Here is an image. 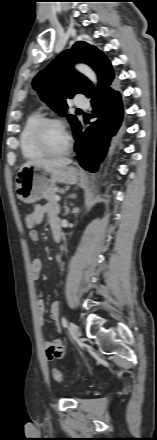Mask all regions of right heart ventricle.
Returning a JSON list of instances; mask_svg holds the SVG:
<instances>
[{"instance_id":"right-heart-ventricle-1","label":"right heart ventricle","mask_w":157,"mask_h":440,"mask_svg":"<svg viewBox=\"0 0 157 440\" xmlns=\"http://www.w3.org/2000/svg\"><path fill=\"white\" fill-rule=\"evenodd\" d=\"M41 119H43V115L40 112H33L26 118L22 127L20 149L23 156L27 159H38L44 156L32 142V130Z\"/></svg>"}]
</instances>
